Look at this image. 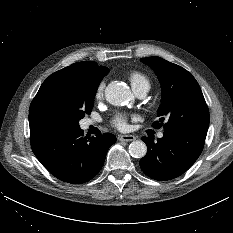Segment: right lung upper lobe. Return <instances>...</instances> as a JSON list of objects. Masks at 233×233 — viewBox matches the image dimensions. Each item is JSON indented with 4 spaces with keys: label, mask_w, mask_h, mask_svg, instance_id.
Instances as JSON below:
<instances>
[{
    "label": "right lung upper lobe",
    "mask_w": 233,
    "mask_h": 233,
    "mask_svg": "<svg viewBox=\"0 0 233 233\" xmlns=\"http://www.w3.org/2000/svg\"><path fill=\"white\" fill-rule=\"evenodd\" d=\"M58 72L85 74L94 79L102 80V78L109 72V69L104 66L103 67L99 66L97 63L92 61H85V62L74 63L66 68H63L62 70H59ZM29 124H30V129L43 126L35 118L32 111H29Z\"/></svg>",
    "instance_id": "right-lung-upper-lobe-1"
}]
</instances>
